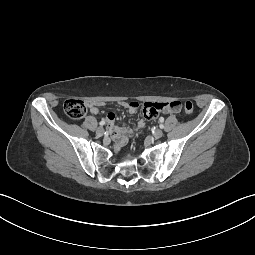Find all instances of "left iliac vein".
<instances>
[{"mask_svg": "<svg viewBox=\"0 0 255 255\" xmlns=\"http://www.w3.org/2000/svg\"><path fill=\"white\" fill-rule=\"evenodd\" d=\"M163 136V131L162 130H160V129H157V130H155V132H154V137L155 138H161Z\"/></svg>", "mask_w": 255, "mask_h": 255, "instance_id": "left-iliac-vein-1", "label": "left iliac vein"}]
</instances>
